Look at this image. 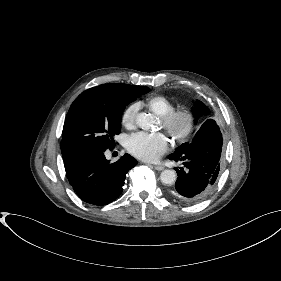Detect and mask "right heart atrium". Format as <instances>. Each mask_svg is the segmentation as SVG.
<instances>
[{"mask_svg":"<svg viewBox=\"0 0 281 281\" xmlns=\"http://www.w3.org/2000/svg\"><path fill=\"white\" fill-rule=\"evenodd\" d=\"M139 110V105L137 103H132L128 105L122 115L121 122L126 127H132L135 123L136 115Z\"/></svg>","mask_w":281,"mask_h":281,"instance_id":"right-heart-atrium-1","label":"right heart atrium"}]
</instances>
